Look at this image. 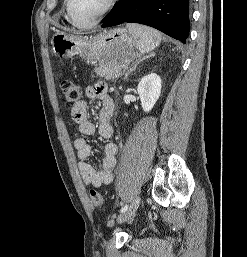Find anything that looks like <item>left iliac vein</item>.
Returning <instances> with one entry per match:
<instances>
[{
	"instance_id": "obj_1",
	"label": "left iliac vein",
	"mask_w": 247,
	"mask_h": 257,
	"mask_svg": "<svg viewBox=\"0 0 247 257\" xmlns=\"http://www.w3.org/2000/svg\"><path fill=\"white\" fill-rule=\"evenodd\" d=\"M140 196H136L132 203L130 204V206L128 207V209L124 212H122L118 218H117V222L118 223H123L125 221H127L131 216H133L135 214V212L137 211L139 204H140Z\"/></svg>"
}]
</instances>
